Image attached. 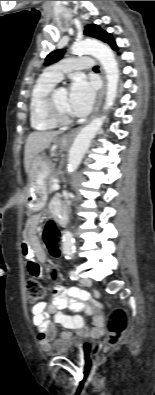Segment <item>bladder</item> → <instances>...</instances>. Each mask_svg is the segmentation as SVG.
Here are the masks:
<instances>
[{
    "mask_svg": "<svg viewBox=\"0 0 155 395\" xmlns=\"http://www.w3.org/2000/svg\"><path fill=\"white\" fill-rule=\"evenodd\" d=\"M91 350V343L77 338L59 339L53 343L52 353L56 356L84 358Z\"/></svg>",
    "mask_w": 155,
    "mask_h": 395,
    "instance_id": "1",
    "label": "bladder"
}]
</instances>
